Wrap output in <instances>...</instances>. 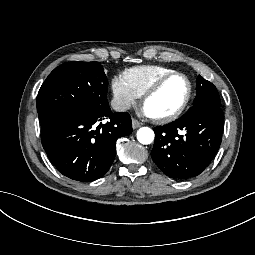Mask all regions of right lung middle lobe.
<instances>
[{
    "label": "right lung middle lobe",
    "mask_w": 255,
    "mask_h": 255,
    "mask_svg": "<svg viewBox=\"0 0 255 255\" xmlns=\"http://www.w3.org/2000/svg\"><path fill=\"white\" fill-rule=\"evenodd\" d=\"M108 81L99 62H67L55 68L37 96L39 121L72 108L103 116L110 108Z\"/></svg>",
    "instance_id": "obj_1"
}]
</instances>
